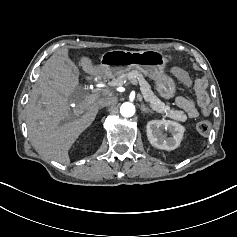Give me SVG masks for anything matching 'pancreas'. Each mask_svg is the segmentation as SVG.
Masks as SVG:
<instances>
[{
  "mask_svg": "<svg viewBox=\"0 0 237 237\" xmlns=\"http://www.w3.org/2000/svg\"><path fill=\"white\" fill-rule=\"evenodd\" d=\"M129 78L135 79L136 84L140 86V90L143 94V96L145 97V101H147L148 103L152 104L155 108H157L159 111H157V109H152L154 107H152L151 105H149L147 102V105L152 111H155L157 113H168L170 114V117L176 121H185L186 120V116L179 111H175V110H171L169 109L159 98L156 97V95L153 93V91L150 88L149 83L146 81V79L136 70L125 73V74H121L119 77L113 79V81L111 82L112 85H118L120 79L123 80H129ZM162 110H167V111H162ZM168 110L174 111L176 113L170 112Z\"/></svg>",
  "mask_w": 237,
  "mask_h": 237,
  "instance_id": "cf45deb5",
  "label": "pancreas"
}]
</instances>
